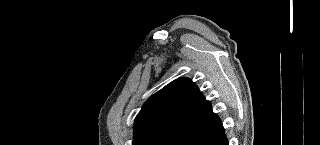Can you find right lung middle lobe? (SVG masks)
Masks as SVG:
<instances>
[{
  "label": "right lung middle lobe",
  "instance_id": "right-lung-middle-lobe-1",
  "mask_svg": "<svg viewBox=\"0 0 320 145\" xmlns=\"http://www.w3.org/2000/svg\"><path fill=\"white\" fill-rule=\"evenodd\" d=\"M174 133H163L151 136L138 145H167L168 142L175 136Z\"/></svg>",
  "mask_w": 320,
  "mask_h": 145
}]
</instances>
